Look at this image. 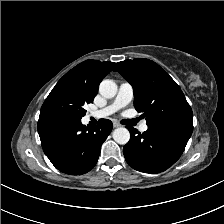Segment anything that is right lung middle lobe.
<instances>
[{
  "label": "right lung middle lobe",
  "instance_id": "dd1d6c3e",
  "mask_svg": "<svg viewBox=\"0 0 224 224\" xmlns=\"http://www.w3.org/2000/svg\"><path fill=\"white\" fill-rule=\"evenodd\" d=\"M93 99L79 87L60 79L43 103L41 112H56L81 119L86 114L84 105L92 103Z\"/></svg>",
  "mask_w": 224,
  "mask_h": 224
}]
</instances>
